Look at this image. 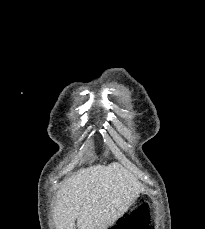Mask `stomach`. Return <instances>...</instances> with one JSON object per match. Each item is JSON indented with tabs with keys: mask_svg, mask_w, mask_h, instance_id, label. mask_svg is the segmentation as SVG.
<instances>
[{
	"mask_svg": "<svg viewBox=\"0 0 205 229\" xmlns=\"http://www.w3.org/2000/svg\"><path fill=\"white\" fill-rule=\"evenodd\" d=\"M158 223L155 205L149 200L135 202L109 229H156Z\"/></svg>",
	"mask_w": 205,
	"mask_h": 229,
	"instance_id": "0dacf381",
	"label": "stomach"
}]
</instances>
